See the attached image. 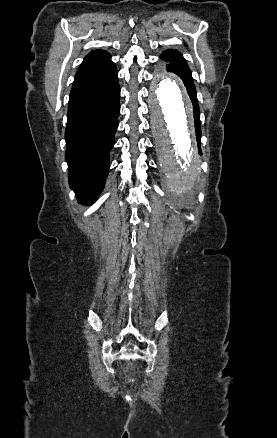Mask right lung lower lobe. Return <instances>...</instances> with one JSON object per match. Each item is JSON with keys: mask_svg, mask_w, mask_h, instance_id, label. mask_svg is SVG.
Listing matches in <instances>:
<instances>
[{"mask_svg": "<svg viewBox=\"0 0 277 438\" xmlns=\"http://www.w3.org/2000/svg\"><path fill=\"white\" fill-rule=\"evenodd\" d=\"M116 68L108 75L72 87L65 132L69 184L78 202L93 204L109 170V153L120 114Z\"/></svg>", "mask_w": 277, "mask_h": 438, "instance_id": "98d812e1", "label": "right lung lower lobe"}]
</instances>
